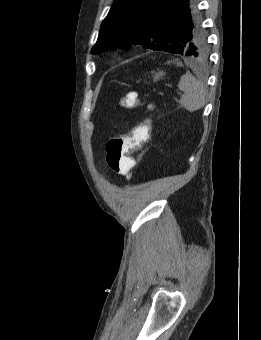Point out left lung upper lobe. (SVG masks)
I'll return each mask as SVG.
<instances>
[{
  "label": "left lung upper lobe",
  "mask_w": 261,
  "mask_h": 340,
  "mask_svg": "<svg viewBox=\"0 0 261 340\" xmlns=\"http://www.w3.org/2000/svg\"><path fill=\"white\" fill-rule=\"evenodd\" d=\"M164 1L114 0L91 53L140 44L188 58H204L208 44L198 8L172 20L161 10Z\"/></svg>",
  "instance_id": "left-lung-upper-lobe-1"
}]
</instances>
